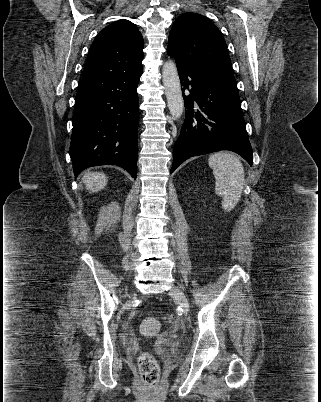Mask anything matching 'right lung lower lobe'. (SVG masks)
Segmentation results:
<instances>
[{"instance_id": "98d812e1", "label": "right lung lower lobe", "mask_w": 321, "mask_h": 402, "mask_svg": "<svg viewBox=\"0 0 321 402\" xmlns=\"http://www.w3.org/2000/svg\"><path fill=\"white\" fill-rule=\"evenodd\" d=\"M142 70L79 80L69 154L75 176L99 165H117L136 179Z\"/></svg>"}]
</instances>
